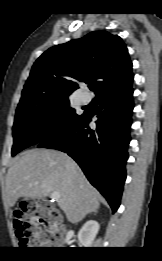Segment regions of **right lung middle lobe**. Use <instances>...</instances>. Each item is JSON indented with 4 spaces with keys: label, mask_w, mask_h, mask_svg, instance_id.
Segmentation results:
<instances>
[{
    "label": "right lung middle lobe",
    "mask_w": 162,
    "mask_h": 261,
    "mask_svg": "<svg viewBox=\"0 0 162 261\" xmlns=\"http://www.w3.org/2000/svg\"><path fill=\"white\" fill-rule=\"evenodd\" d=\"M80 116L70 107L68 96L39 95L20 101L13 125L12 156L67 128Z\"/></svg>",
    "instance_id": "right-lung-middle-lobe-1"
}]
</instances>
